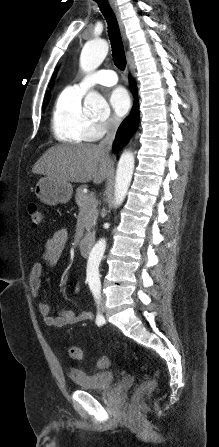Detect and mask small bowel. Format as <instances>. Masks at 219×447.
I'll return each instance as SVG.
<instances>
[{
    "mask_svg": "<svg viewBox=\"0 0 219 447\" xmlns=\"http://www.w3.org/2000/svg\"><path fill=\"white\" fill-rule=\"evenodd\" d=\"M66 242L67 231L65 229L57 230L53 236L47 240L44 251L40 253L37 260L32 265L28 277V284L31 294L34 297H37L40 293L44 279V266H54L60 261ZM78 291L79 285H76L75 292L77 293ZM39 311L45 324L51 328H61L93 319V314L88 311L76 313L72 310L62 309L58 311L56 315H53L51 307L47 303H40Z\"/></svg>",
    "mask_w": 219,
    "mask_h": 447,
    "instance_id": "small-bowel-1",
    "label": "small bowel"
}]
</instances>
